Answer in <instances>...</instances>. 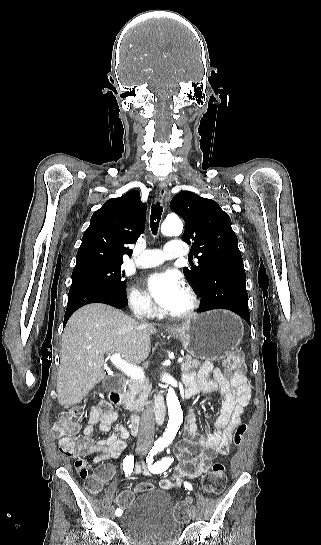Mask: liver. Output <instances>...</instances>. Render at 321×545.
Listing matches in <instances>:
<instances>
[{
	"label": "liver",
	"mask_w": 321,
	"mask_h": 545,
	"mask_svg": "<svg viewBox=\"0 0 321 545\" xmlns=\"http://www.w3.org/2000/svg\"><path fill=\"white\" fill-rule=\"evenodd\" d=\"M154 333L158 331L153 325H140L109 305L92 303L78 309L62 335L59 405H77L106 377L104 355L118 353L133 365L145 361Z\"/></svg>",
	"instance_id": "liver-1"
}]
</instances>
